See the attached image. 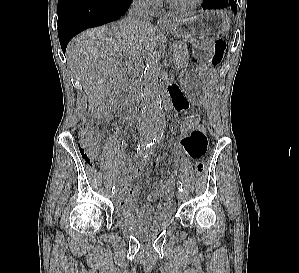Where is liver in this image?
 I'll return each mask as SVG.
<instances>
[{"label":"liver","mask_w":299,"mask_h":273,"mask_svg":"<svg viewBox=\"0 0 299 273\" xmlns=\"http://www.w3.org/2000/svg\"><path fill=\"white\" fill-rule=\"evenodd\" d=\"M153 41L151 24L134 26L126 18L85 31L69 43L67 61L88 96L90 109H95L111 94L121 71L131 59H140Z\"/></svg>","instance_id":"1"}]
</instances>
